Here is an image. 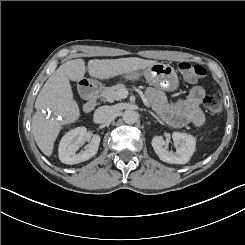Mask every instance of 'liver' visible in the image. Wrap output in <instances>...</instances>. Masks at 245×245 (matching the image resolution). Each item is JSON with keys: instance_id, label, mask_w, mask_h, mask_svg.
Returning <instances> with one entry per match:
<instances>
[{"instance_id": "liver-1", "label": "liver", "mask_w": 245, "mask_h": 245, "mask_svg": "<svg viewBox=\"0 0 245 245\" xmlns=\"http://www.w3.org/2000/svg\"><path fill=\"white\" fill-rule=\"evenodd\" d=\"M157 63L153 60L129 57L111 60H91L88 63L89 74L106 78L131 70H136ZM86 64L83 59H75L61 65L47 80L40 91L35 107L45 110L52 107L62 115L63 122H71L78 116L77 104L72 99L69 79H82ZM59 124L43 120L41 113L32 117V132L34 139L42 152L50 156L53 143L59 133Z\"/></svg>"}]
</instances>
